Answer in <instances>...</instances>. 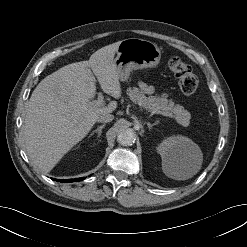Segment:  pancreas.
<instances>
[{"mask_svg":"<svg viewBox=\"0 0 247 247\" xmlns=\"http://www.w3.org/2000/svg\"><path fill=\"white\" fill-rule=\"evenodd\" d=\"M127 95L132 102L142 106L149 112L163 111L171 113V117L184 127H187L190 123V113L183 106L176 105L172 100H168L167 94L147 97L145 92L139 88L129 87L127 88Z\"/></svg>","mask_w":247,"mask_h":247,"instance_id":"cf45deb5","label":"pancreas"}]
</instances>
